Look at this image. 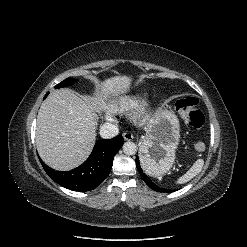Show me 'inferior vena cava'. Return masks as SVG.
Instances as JSON below:
<instances>
[{"label":"inferior vena cava","instance_id":"1","mask_svg":"<svg viewBox=\"0 0 247 247\" xmlns=\"http://www.w3.org/2000/svg\"><path fill=\"white\" fill-rule=\"evenodd\" d=\"M119 133L118 126L114 123L106 122L100 127V135L104 139H110Z\"/></svg>","mask_w":247,"mask_h":247}]
</instances>
